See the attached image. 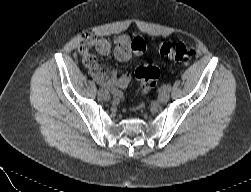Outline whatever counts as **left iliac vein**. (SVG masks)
Here are the masks:
<instances>
[{
  "label": "left iliac vein",
  "mask_w": 251,
  "mask_h": 192,
  "mask_svg": "<svg viewBox=\"0 0 251 192\" xmlns=\"http://www.w3.org/2000/svg\"><path fill=\"white\" fill-rule=\"evenodd\" d=\"M169 98H170L169 92L166 90H163L158 96V100L161 103H166L169 100Z\"/></svg>",
  "instance_id": "left-iliac-vein-1"
}]
</instances>
